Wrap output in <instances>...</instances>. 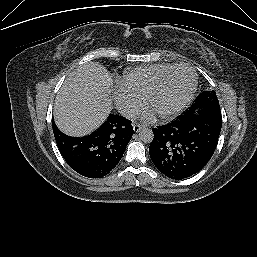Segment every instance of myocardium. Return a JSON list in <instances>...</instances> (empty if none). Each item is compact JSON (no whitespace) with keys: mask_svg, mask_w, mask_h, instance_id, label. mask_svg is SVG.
Returning a JSON list of instances; mask_svg holds the SVG:
<instances>
[{"mask_svg":"<svg viewBox=\"0 0 257 257\" xmlns=\"http://www.w3.org/2000/svg\"><path fill=\"white\" fill-rule=\"evenodd\" d=\"M178 69H187L191 72L192 74V84L190 86L189 91L187 92V94L185 95V97L173 108L167 110V111H162V112H156L157 115L161 118H169L172 117L178 113H180L182 110H184L188 104L191 102L196 89H197V85H198V77H197V73L195 71L194 68H192L191 66L187 65V64H178V65H174L171 68H169L168 70H166L154 83V85L152 86V88L150 89L147 97H146V102H147V106L149 108H152V102L154 97L156 96V94L160 91L164 81L166 80V78L174 71L178 70Z\"/></svg>","mask_w":257,"mask_h":257,"instance_id":"myocardium-1","label":"myocardium"}]
</instances>
